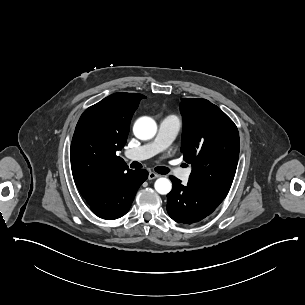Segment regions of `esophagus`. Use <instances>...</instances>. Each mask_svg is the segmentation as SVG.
I'll return each instance as SVG.
<instances>
[{"instance_id": "1", "label": "esophagus", "mask_w": 305, "mask_h": 305, "mask_svg": "<svg viewBox=\"0 0 305 305\" xmlns=\"http://www.w3.org/2000/svg\"><path fill=\"white\" fill-rule=\"evenodd\" d=\"M158 177H159L158 174H156V173H154V172H150V173H149V176H148V179H149V180H153V179H156V178H158Z\"/></svg>"}]
</instances>
